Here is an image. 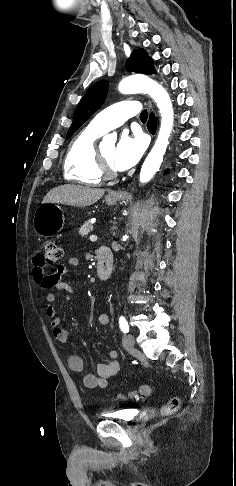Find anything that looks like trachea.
Returning a JSON list of instances; mask_svg holds the SVG:
<instances>
[{
	"label": "trachea",
	"instance_id": "3493384b",
	"mask_svg": "<svg viewBox=\"0 0 236 486\" xmlns=\"http://www.w3.org/2000/svg\"><path fill=\"white\" fill-rule=\"evenodd\" d=\"M141 120H147V110H143L140 114Z\"/></svg>",
	"mask_w": 236,
	"mask_h": 486
}]
</instances>
